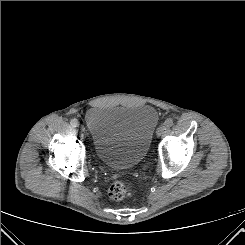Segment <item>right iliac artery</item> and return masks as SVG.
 I'll return each instance as SVG.
<instances>
[{
	"instance_id": "obj_1",
	"label": "right iliac artery",
	"mask_w": 245,
	"mask_h": 245,
	"mask_svg": "<svg viewBox=\"0 0 245 245\" xmlns=\"http://www.w3.org/2000/svg\"><path fill=\"white\" fill-rule=\"evenodd\" d=\"M70 124L72 127H77L79 125V122L77 119L74 118L70 120Z\"/></svg>"
}]
</instances>
